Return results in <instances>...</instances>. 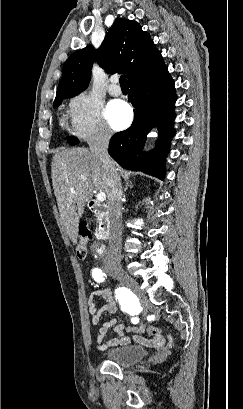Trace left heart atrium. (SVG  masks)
<instances>
[{
    "label": "left heart atrium",
    "instance_id": "39dd6f15",
    "mask_svg": "<svg viewBox=\"0 0 243 409\" xmlns=\"http://www.w3.org/2000/svg\"><path fill=\"white\" fill-rule=\"evenodd\" d=\"M105 117L114 130H122L131 123L132 110L126 102L114 100L107 105Z\"/></svg>",
    "mask_w": 243,
    "mask_h": 409
}]
</instances>
